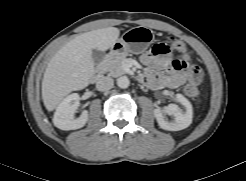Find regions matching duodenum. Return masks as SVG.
I'll use <instances>...</instances> for the list:
<instances>
[{
  "label": "duodenum",
  "instance_id": "410a0bca",
  "mask_svg": "<svg viewBox=\"0 0 246 181\" xmlns=\"http://www.w3.org/2000/svg\"><path fill=\"white\" fill-rule=\"evenodd\" d=\"M113 54H114V51H113V50L109 51V52L105 55L104 60L109 59L110 57L113 56ZM101 77H102V70H101V68H98V69H97L96 71H94V73L92 74L91 80H92L93 82H98V81L101 79Z\"/></svg>",
  "mask_w": 246,
  "mask_h": 181
}]
</instances>
